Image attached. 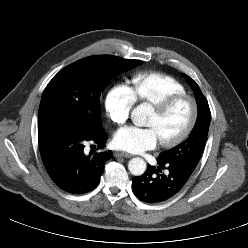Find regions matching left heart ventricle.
Instances as JSON below:
<instances>
[{
    "label": "left heart ventricle",
    "instance_id": "obj_1",
    "mask_svg": "<svg viewBox=\"0 0 248 248\" xmlns=\"http://www.w3.org/2000/svg\"><path fill=\"white\" fill-rule=\"evenodd\" d=\"M190 117L191 104L182 100L164 115L159 116L152 110L146 125L155 129L159 141H165L178 136L187 126Z\"/></svg>",
    "mask_w": 248,
    "mask_h": 248
}]
</instances>
